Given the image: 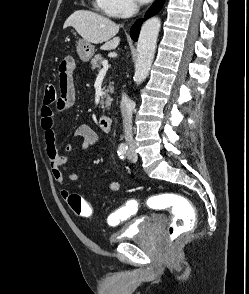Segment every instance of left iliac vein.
<instances>
[{"mask_svg":"<svg viewBox=\"0 0 249 294\" xmlns=\"http://www.w3.org/2000/svg\"><path fill=\"white\" fill-rule=\"evenodd\" d=\"M129 159L132 161V162H136L137 161V156L130 152L129 155H128Z\"/></svg>","mask_w":249,"mask_h":294,"instance_id":"4c4485c4","label":"left iliac vein"}]
</instances>
